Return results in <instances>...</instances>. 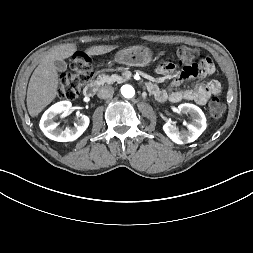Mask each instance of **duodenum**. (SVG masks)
<instances>
[{"label": "duodenum", "mask_w": 253, "mask_h": 253, "mask_svg": "<svg viewBox=\"0 0 253 253\" xmlns=\"http://www.w3.org/2000/svg\"><path fill=\"white\" fill-rule=\"evenodd\" d=\"M101 83H102L101 80H95L87 84L83 91L84 96L87 98L93 97L96 94Z\"/></svg>", "instance_id": "410a0bca"}]
</instances>
